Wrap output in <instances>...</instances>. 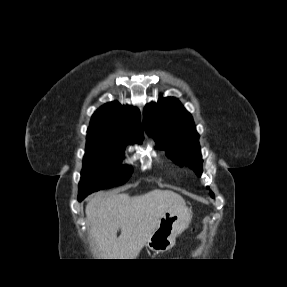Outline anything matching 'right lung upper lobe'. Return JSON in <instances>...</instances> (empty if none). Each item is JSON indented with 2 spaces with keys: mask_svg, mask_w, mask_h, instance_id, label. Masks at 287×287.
<instances>
[{
  "mask_svg": "<svg viewBox=\"0 0 287 287\" xmlns=\"http://www.w3.org/2000/svg\"><path fill=\"white\" fill-rule=\"evenodd\" d=\"M87 139L125 144L140 142L143 131L138 110L116 101L103 105L91 118Z\"/></svg>",
  "mask_w": 287,
  "mask_h": 287,
  "instance_id": "right-lung-upper-lobe-1",
  "label": "right lung upper lobe"
}]
</instances>
